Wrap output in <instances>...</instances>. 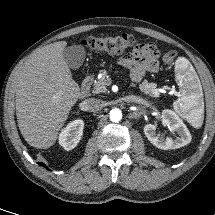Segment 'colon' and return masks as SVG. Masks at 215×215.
Returning <instances> with one entry per match:
<instances>
[{
    "label": "colon",
    "instance_id": "colon-1",
    "mask_svg": "<svg viewBox=\"0 0 215 215\" xmlns=\"http://www.w3.org/2000/svg\"><path fill=\"white\" fill-rule=\"evenodd\" d=\"M83 45L92 50L109 54H122L130 48H136L141 43L139 40L128 34L107 37H88L82 41ZM176 57V52H166L162 59L167 65L171 64Z\"/></svg>",
    "mask_w": 215,
    "mask_h": 215
}]
</instances>
